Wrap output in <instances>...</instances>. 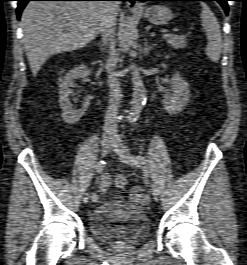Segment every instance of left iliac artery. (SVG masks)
<instances>
[{"label": "left iliac artery", "mask_w": 247, "mask_h": 265, "mask_svg": "<svg viewBox=\"0 0 247 265\" xmlns=\"http://www.w3.org/2000/svg\"><path fill=\"white\" fill-rule=\"evenodd\" d=\"M129 161L134 165H145L148 163L147 159L143 156H130Z\"/></svg>", "instance_id": "left-iliac-artery-1"}]
</instances>
